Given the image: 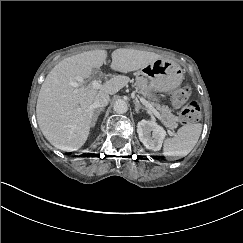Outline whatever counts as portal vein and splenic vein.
Returning <instances> with one entry per match:
<instances>
[{
	"instance_id": "obj_1",
	"label": "portal vein and splenic vein",
	"mask_w": 243,
	"mask_h": 243,
	"mask_svg": "<svg viewBox=\"0 0 243 243\" xmlns=\"http://www.w3.org/2000/svg\"><path fill=\"white\" fill-rule=\"evenodd\" d=\"M93 87L98 88L99 87V81L98 80H94L92 83ZM143 104L150 110L152 111V113L155 115V117L160 121L163 122L161 114L159 111H157L151 104H149L148 102H143Z\"/></svg>"
}]
</instances>
